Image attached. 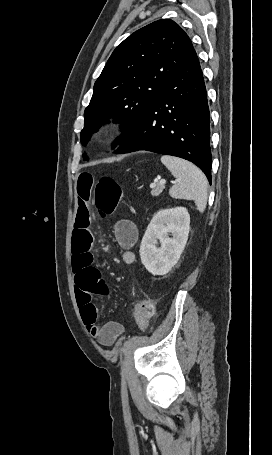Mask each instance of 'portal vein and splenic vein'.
<instances>
[{"instance_id": "obj_1", "label": "portal vein and splenic vein", "mask_w": 272, "mask_h": 455, "mask_svg": "<svg viewBox=\"0 0 272 455\" xmlns=\"http://www.w3.org/2000/svg\"><path fill=\"white\" fill-rule=\"evenodd\" d=\"M160 184H161L162 186H164V185L166 184V180H164V179L160 180Z\"/></svg>"}]
</instances>
